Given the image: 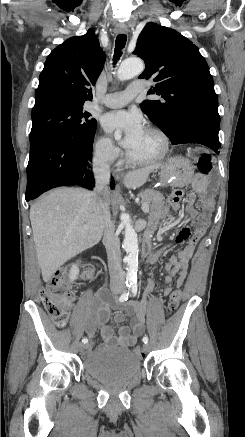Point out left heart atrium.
Wrapping results in <instances>:
<instances>
[{
  "label": "left heart atrium",
  "mask_w": 245,
  "mask_h": 437,
  "mask_svg": "<svg viewBox=\"0 0 245 437\" xmlns=\"http://www.w3.org/2000/svg\"><path fill=\"white\" fill-rule=\"evenodd\" d=\"M102 126L109 134L120 133V144L129 152L136 147L145 131L142 118L128 111L108 113L102 119Z\"/></svg>",
  "instance_id": "left-heart-atrium-1"
}]
</instances>
